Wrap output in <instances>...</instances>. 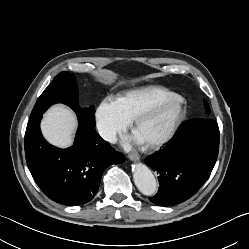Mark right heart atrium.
<instances>
[{
	"instance_id": "right-heart-atrium-1",
	"label": "right heart atrium",
	"mask_w": 249,
	"mask_h": 249,
	"mask_svg": "<svg viewBox=\"0 0 249 249\" xmlns=\"http://www.w3.org/2000/svg\"><path fill=\"white\" fill-rule=\"evenodd\" d=\"M96 128L100 136L107 142H114L130 125V121L122 113L116 99L105 98L95 112Z\"/></svg>"
}]
</instances>
